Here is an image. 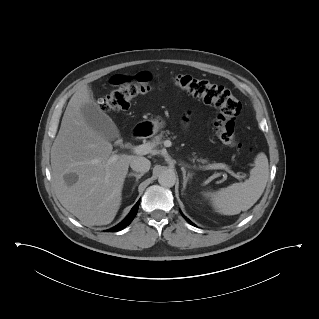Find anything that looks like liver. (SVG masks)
<instances>
[{
  "mask_svg": "<svg viewBox=\"0 0 319 319\" xmlns=\"http://www.w3.org/2000/svg\"><path fill=\"white\" fill-rule=\"evenodd\" d=\"M92 99L88 85L74 93L51 148L55 194L63 207L87 226L113 221L121 205L129 164L136 157L121 154L109 162L114 156L112 144L88 126L81 112ZM68 174L77 176L72 185L65 182Z\"/></svg>",
  "mask_w": 319,
  "mask_h": 319,
  "instance_id": "liver-1",
  "label": "liver"
}]
</instances>
